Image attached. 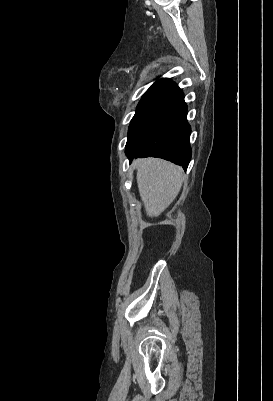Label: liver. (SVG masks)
<instances>
[{
	"label": "liver",
	"instance_id": "obj_1",
	"mask_svg": "<svg viewBox=\"0 0 273 401\" xmlns=\"http://www.w3.org/2000/svg\"><path fill=\"white\" fill-rule=\"evenodd\" d=\"M137 184L148 217H158L176 198L183 182V170L162 158L135 160Z\"/></svg>",
	"mask_w": 273,
	"mask_h": 401
}]
</instances>
